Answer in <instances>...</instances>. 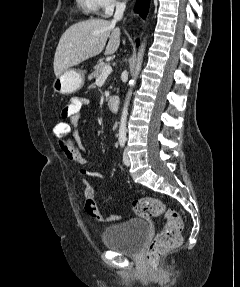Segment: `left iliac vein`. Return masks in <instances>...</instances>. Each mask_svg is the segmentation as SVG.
I'll list each match as a JSON object with an SVG mask.
<instances>
[{
	"label": "left iliac vein",
	"mask_w": 240,
	"mask_h": 287,
	"mask_svg": "<svg viewBox=\"0 0 240 287\" xmlns=\"http://www.w3.org/2000/svg\"><path fill=\"white\" fill-rule=\"evenodd\" d=\"M123 162L127 166L130 165V160H129V157H128V154H127L126 150H125L124 155H123Z\"/></svg>",
	"instance_id": "4c4485c4"
}]
</instances>
